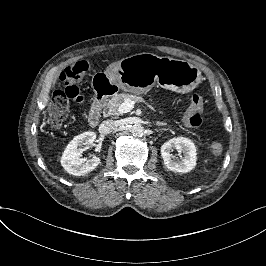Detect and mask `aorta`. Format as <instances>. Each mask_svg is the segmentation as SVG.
I'll return each instance as SVG.
<instances>
[{
  "label": "aorta",
  "instance_id": "1",
  "mask_svg": "<svg viewBox=\"0 0 266 266\" xmlns=\"http://www.w3.org/2000/svg\"><path fill=\"white\" fill-rule=\"evenodd\" d=\"M130 132L133 136L138 138H142L147 134L146 129L142 125H133L130 129Z\"/></svg>",
  "mask_w": 266,
  "mask_h": 266
}]
</instances>
